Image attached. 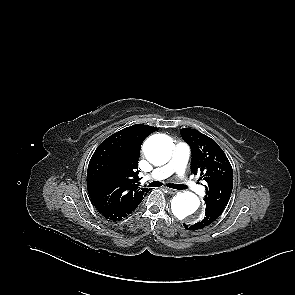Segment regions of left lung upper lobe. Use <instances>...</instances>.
<instances>
[{
    "mask_svg": "<svg viewBox=\"0 0 295 295\" xmlns=\"http://www.w3.org/2000/svg\"><path fill=\"white\" fill-rule=\"evenodd\" d=\"M182 138L192 151L191 170L207 182L204 201L208 205L225 207L233 188V170L219 145L198 130L181 129Z\"/></svg>",
    "mask_w": 295,
    "mask_h": 295,
    "instance_id": "left-lung-upper-lobe-1",
    "label": "left lung upper lobe"
}]
</instances>
